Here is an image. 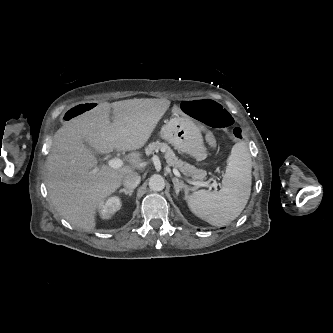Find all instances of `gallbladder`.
I'll return each instance as SVG.
<instances>
[{"label":"gallbladder","instance_id":"gallbladder-1","mask_svg":"<svg viewBox=\"0 0 333 333\" xmlns=\"http://www.w3.org/2000/svg\"><path fill=\"white\" fill-rule=\"evenodd\" d=\"M84 145L88 148V149H90L91 151H93L94 152V149L87 143V142H84Z\"/></svg>","mask_w":333,"mask_h":333}]
</instances>
